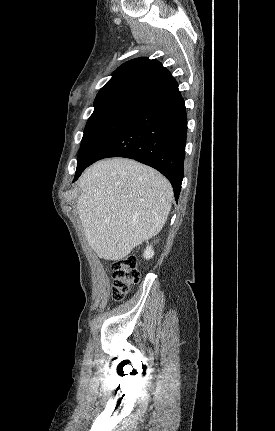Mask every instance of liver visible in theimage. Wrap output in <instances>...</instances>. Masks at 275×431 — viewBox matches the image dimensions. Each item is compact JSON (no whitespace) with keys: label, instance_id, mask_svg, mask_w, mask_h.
I'll return each instance as SVG.
<instances>
[{"label":"liver","instance_id":"obj_1","mask_svg":"<svg viewBox=\"0 0 275 431\" xmlns=\"http://www.w3.org/2000/svg\"><path fill=\"white\" fill-rule=\"evenodd\" d=\"M77 212L93 251L119 261L160 232L171 210L173 189L155 169L137 161H99L82 174Z\"/></svg>","mask_w":275,"mask_h":431}]
</instances>
